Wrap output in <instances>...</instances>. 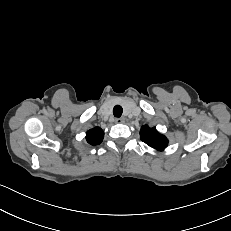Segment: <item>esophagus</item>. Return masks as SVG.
I'll list each match as a JSON object with an SVG mask.
<instances>
[{
  "label": "esophagus",
  "mask_w": 231,
  "mask_h": 231,
  "mask_svg": "<svg viewBox=\"0 0 231 231\" xmlns=\"http://www.w3.org/2000/svg\"><path fill=\"white\" fill-rule=\"evenodd\" d=\"M125 122V119L124 118H116L115 119V123L116 124H122V123H124Z\"/></svg>",
  "instance_id": "esophagus-1"
}]
</instances>
